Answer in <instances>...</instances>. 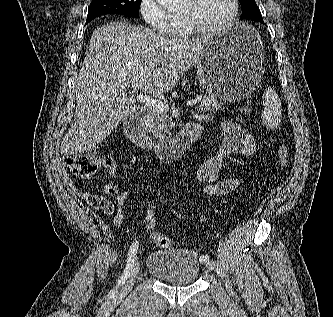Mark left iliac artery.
I'll return each instance as SVG.
<instances>
[{
  "mask_svg": "<svg viewBox=\"0 0 333 317\" xmlns=\"http://www.w3.org/2000/svg\"><path fill=\"white\" fill-rule=\"evenodd\" d=\"M209 260V257L208 256H206V255H202L201 257H200V261H202V262H207Z\"/></svg>",
  "mask_w": 333,
  "mask_h": 317,
  "instance_id": "obj_1",
  "label": "left iliac artery"
}]
</instances>
